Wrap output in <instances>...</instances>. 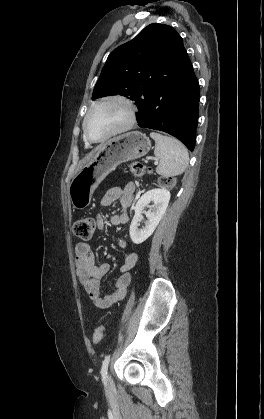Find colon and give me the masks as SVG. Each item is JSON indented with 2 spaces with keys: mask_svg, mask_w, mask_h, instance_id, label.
Listing matches in <instances>:
<instances>
[{
  "mask_svg": "<svg viewBox=\"0 0 264 419\" xmlns=\"http://www.w3.org/2000/svg\"><path fill=\"white\" fill-rule=\"evenodd\" d=\"M127 170L135 176H144L150 173L149 168L140 162H130L126 166ZM160 184L166 187H173L176 183L173 177H162ZM95 220L92 217H82L73 225L74 234L82 240H90L94 234ZM104 336V326L99 325L93 333V342L99 344Z\"/></svg>",
  "mask_w": 264,
  "mask_h": 419,
  "instance_id": "1",
  "label": "colon"
}]
</instances>
